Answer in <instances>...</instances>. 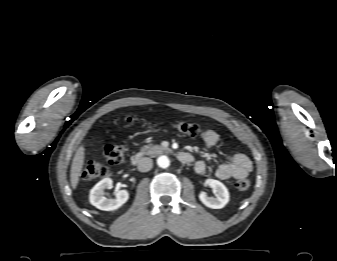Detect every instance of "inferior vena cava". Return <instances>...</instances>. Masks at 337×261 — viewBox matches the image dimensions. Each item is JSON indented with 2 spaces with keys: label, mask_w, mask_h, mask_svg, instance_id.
<instances>
[{
  "label": "inferior vena cava",
  "mask_w": 337,
  "mask_h": 261,
  "mask_svg": "<svg viewBox=\"0 0 337 261\" xmlns=\"http://www.w3.org/2000/svg\"><path fill=\"white\" fill-rule=\"evenodd\" d=\"M153 166V161L151 158L143 157L138 162V170L140 172H147L149 171Z\"/></svg>",
  "instance_id": "obj_1"
}]
</instances>
